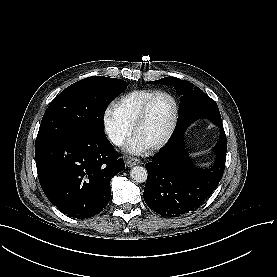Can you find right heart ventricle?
I'll list each match as a JSON object with an SVG mask.
<instances>
[{
    "label": "right heart ventricle",
    "instance_id": "obj_1",
    "mask_svg": "<svg viewBox=\"0 0 277 277\" xmlns=\"http://www.w3.org/2000/svg\"><path fill=\"white\" fill-rule=\"evenodd\" d=\"M153 95L150 90L133 91L116 104V111L128 124L132 123L143 109L147 100Z\"/></svg>",
    "mask_w": 277,
    "mask_h": 277
}]
</instances>
